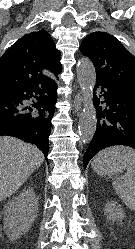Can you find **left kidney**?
I'll return each mask as SVG.
<instances>
[{
  "instance_id": "obj_1",
  "label": "left kidney",
  "mask_w": 135,
  "mask_h": 249,
  "mask_svg": "<svg viewBox=\"0 0 135 249\" xmlns=\"http://www.w3.org/2000/svg\"><path fill=\"white\" fill-rule=\"evenodd\" d=\"M105 214L107 215V219L112 221H122L125 213L122 207L114 201H110L105 206Z\"/></svg>"
}]
</instances>
